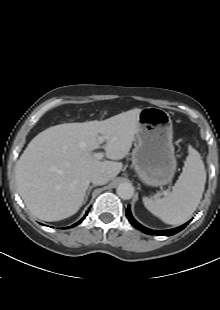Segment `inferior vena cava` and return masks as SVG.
Instances as JSON below:
<instances>
[{"label": "inferior vena cava", "mask_w": 220, "mask_h": 310, "mask_svg": "<svg viewBox=\"0 0 220 310\" xmlns=\"http://www.w3.org/2000/svg\"><path fill=\"white\" fill-rule=\"evenodd\" d=\"M109 180H110L109 176H107L106 174L96 173V174L92 175L90 181L94 185H104V184L108 183Z\"/></svg>", "instance_id": "602c4592"}]
</instances>
